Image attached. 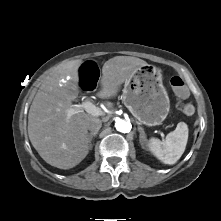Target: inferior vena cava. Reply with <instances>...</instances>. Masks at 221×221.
Wrapping results in <instances>:
<instances>
[{"instance_id": "obj_1", "label": "inferior vena cava", "mask_w": 221, "mask_h": 221, "mask_svg": "<svg viewBox=\"0 0 221 221\" xmlns=\"http://www.w3.org/2000/svg\"><path fill=\"white\" fill-rule=\"evenodd\" d=\"M102 126V121L100 119H93L87 124V129L91 132H98Z\"/></svg>"}]
</instances>
